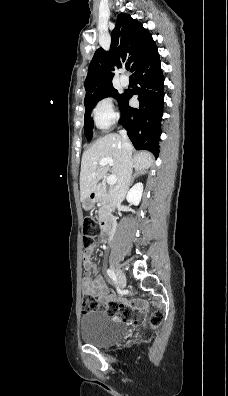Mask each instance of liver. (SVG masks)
I'll use <instances>...</instances> for the list:
<instances>
[{"label": "liver", "instance_id": "1", "mask_svg": "<svg viewBox=\"0 0 228 396\" xmlns=\"http://www.w3.org/2000/svg\"><path fill=\"white\" fill-rule=\"evenodd\" d=\"M123 142L118 134H108L99 138L82 156L80 171V200L95 192L96 185L108 172L109 166H100L103 158H112V175L119 178L122 163ZM154 161L150 152L141 151L134 154L132 166L137 171L148 169Z\"/></svg>", "mask_w": 228, "mask_h": 396}]
</instances>
